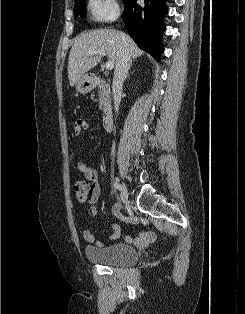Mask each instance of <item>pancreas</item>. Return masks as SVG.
Segmentation results:
<instances>
[{
    "label": "pancreas",
    "mask_w": 245,
    "mask_h": 314,
    "mask_svg": "<svg viewBox=\"0 0 245 314\" xmlns=\"http://www.w3.org/2000/svg\"><path fill=\"white\" fill-rule=\"evenodd\" d=\"M110 88L104 81L99 85V109L104 111L110 106Z\"/></svg>",
    "instance_id": "pancreas-1"
}]
</instances>
